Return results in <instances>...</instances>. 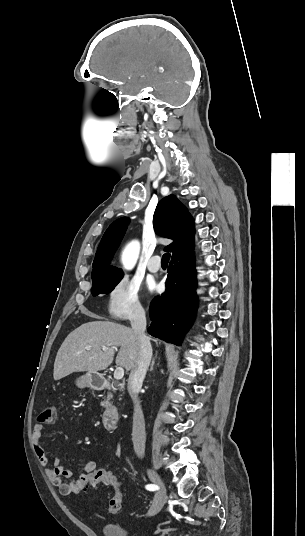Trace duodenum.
<instances>
[{
  "instance_id": "1",
  "label": "duodenum",
  "mask_w": 305,
  "mask_h": 536,
  "mask_svg": "<svg viewBox=\"0 0 305 536\" xmlns=\"http://www.w3.org/2000/svg\"><path fill=\"white\" fill-rule=\"evenodd\" d=\"M92 386L97 390H108L110 383L100 376L91 379ZM119 422L118 413L113 408L110 399L106 401L105 409L102 413V424L106 430H114Z\"/></svg>"
}]
</instances>
